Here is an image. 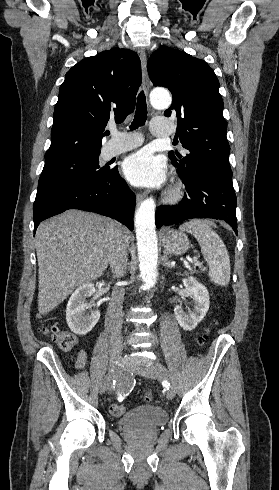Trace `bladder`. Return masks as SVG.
<instances>
[{
	"label": "bladder",
	"mask_w": 279,
	"mask_h": 490,
	"mask_svg": "<svg viewBox=\"0 0 279 490\" xmlns=\"http://www.w3.org/2000/svg\"><path fill=\"white\" fill-rule=\"evenodd\" d=\"M168 415L164 408L157 405L134 407L121 418L118 426L122 431H145L167 424Z\"/></svg>",
	"instance_id": "bladder-1"
}]
</instances>
